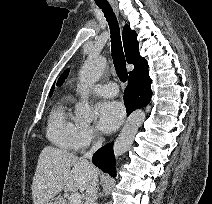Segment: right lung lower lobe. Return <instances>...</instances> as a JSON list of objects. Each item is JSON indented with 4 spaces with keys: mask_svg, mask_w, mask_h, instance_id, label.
Returning a JSON list of instances; mask_svg holds the SVG:
<instances>
[{
    "mask_svg": "<svg viewBox=\"0 0 212 204\" xmlns=\"http://www.w3.org/2000/svg\"><path fill=\"white\" fill-rule=\"evenodd\" d=\"M150 86L151 79L148 74V66L141 68L138 72L129 76L128 86L124 92L127 115L135 109L145 107L149 104L152 96ZM93 164L111 176H115L113 142L103 146L93 155Z\"/></svg>",
    "mask_w": 212,
    "mask_h": 204,
    "instance_id": "1",
    "label": "right lung lower lobe"
}]
</instances>
